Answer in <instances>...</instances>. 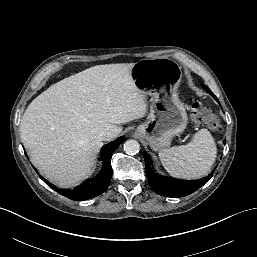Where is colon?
Listing matches in <instances>:
<instances>
[{
    "label": "colon",
    "mask_w": 257,
    "mask_h": 257,
    "mask_svg": "<svg viewBox=\"0 0 257 257\" xmlns=\"http://www.w3.org/2000/svg\"><path fill=\"white\" fill-rule=\"evenodd\" d=\"M191 116L195 123L206 126L211 130H220V124L211 111L200 101L195 100L191 107Z\"/></svg>",
    "instance_id": "obj_1"
}]
</instances>
